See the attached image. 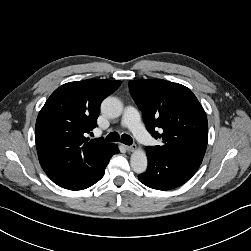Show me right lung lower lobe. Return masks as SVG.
<instances>
[{
    "label": "right lung lower lobe",
    "mask_w": 251,
    "mask_h": 251,
    "mask_svg": "<svg viewBox=\"0 0 251 251\" xmlns=\"http://www.w3.org/2000/svg\"><path fill=\"white\" fill-rule=\"evenodd\" d=\"M119 149L117 145L112 146L100 157L87 167L76 170L72 173L64 174L60 172L46 173L48 177L58 186L69 190H83L99 181L105 172L109 160Z\"/></svg>",
    "instance_id": "98d812e1"
}]
</instances>
